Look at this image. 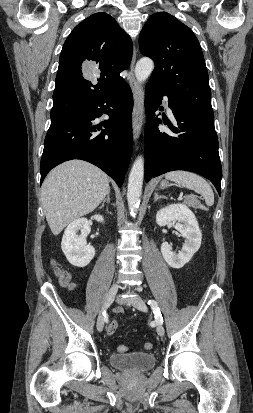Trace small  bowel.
Instances as JSON below:
<instances>
[{
    "label": "small bowel",
    "mask_w": 253,
    "mask_h": 413,
    "mask_svg": "<svg viewBox=\"0 0 253 413\" xmlns=\"http://www.w3.org/2000/svg\"><path fill=\"white\" fill-rule=\"evenodd\" d=\"M67 287L69 290H75L77 288V285L75 283H69L67 284ZM118 311H121V310L118 309Z\"/></svg>",
    "instance_id": "small-bowel-1"
}]
</instances>
